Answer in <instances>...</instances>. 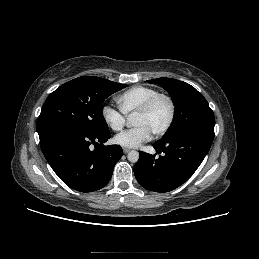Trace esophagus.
Here are the masks:
<instances>
[{
	"label": "esophagus",
	"instance_id": "obj_1",
	"mask_svg": "<svg viewBox=\"0 0 259 259\" xmlns=\"http://www.w3.org/2000/svg\"><path fill=\"white\" fill-rule=\"evenodd\" d=\"M123 152L126 154V153L130 152V149H128V148H123Z\"/></svg>",
	"mask_w": 259,
	"mask_h": 259
}]
</instances>
